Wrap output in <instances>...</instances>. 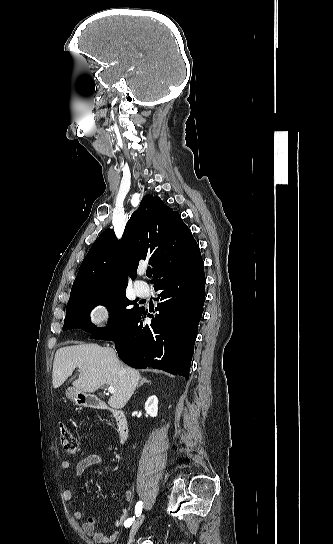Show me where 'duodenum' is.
I'll return each instance as SVG.
<instances>
[{
  "instance_id": "1",
  "label": "duodenum",
  "mask_w": 333,
  "mask_h": 544,
  "mask_svg": "<svg viewBox=\"0 0 333 544\" xmlns=\"http://www.w3.org/2000/svg\"><path fill=\"white\" fill-rule=\"evenodd\" d=\"M81 405L97 409H110L112 417L117 426V433L120 442H124L128 436V421L125 413L120 409L109 408L102 400L92 395H79Z\"/></svg>"
}]
</instances>
